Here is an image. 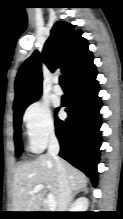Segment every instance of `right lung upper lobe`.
<instances>
[{
    "label": "right lung upper lobe",
    "mask_w": 123,
    "mask_h": 219,
    "mask_svg": "<svg viewBox=\"0 0 123 219\" xmlns=\"http://www.w3.org/2000/svg\"><path fill=\"white\" fill-rule=\"evenodd\" d=\"M81 35L82 31L75 30L70 23L58 21L54 24L42 54L35 51L19 69L15 80L14 110L41 96L42 61L51 71L61 68L69 78L93 59L87 40Z\"/></svg>",
    "instance_id": "obj_1"
}]
</instances>
